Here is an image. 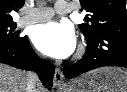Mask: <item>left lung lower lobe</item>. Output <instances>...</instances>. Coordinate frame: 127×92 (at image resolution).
Instances as JSON below:
<instances>
[{"instance_id":"left-lung-lower-lobe-1","label":"left lung lower lobe","mask_w":127,"mask_h":92,"mask_svg":"<svg viewBox=\"0 0 127 92\" xmlns=\"http://www.w3.org/2000/svg\"><path fill=\"white\" fill-rule=\"evenodd\" d=\"M86 41L87 49L82 59L64 68L67 79L103 66L127 68L126 31L104 30Z\"/></svg>"}]
</instances>
